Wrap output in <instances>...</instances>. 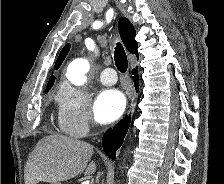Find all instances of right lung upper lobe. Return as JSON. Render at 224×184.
<instances>
[{"label": "right lung upper lobe", "instance_id": "right-lung-upper-lobe-1", "mask_svg": "<svg viewBox=\"0 0 224 184\" xmlns=\"http://www.w3.org/2000/svg\"><path fill=\"white\" fill-rule=\"evenodd\" d=\"M118 28H119L120 37H121L126 49L129 52L137 55V58H138L139 57L138 51H137L138 43L134 39L136 32H135V29H134L132 23L127 18L122 17L118 22ZM69 49H70V44H66L58 56V59L54 66V69L57 70L60 67V65L64 61L65 57L67 56ZM54 81H55V76L51 75L46 89L51 88Z\"/></svg>", "mask_w": 224, "mask_h": 184}]
</instances>
